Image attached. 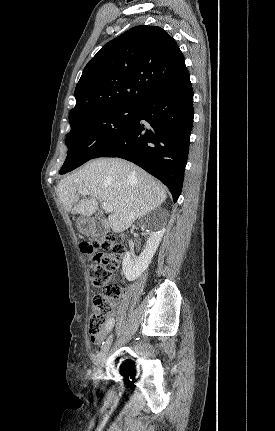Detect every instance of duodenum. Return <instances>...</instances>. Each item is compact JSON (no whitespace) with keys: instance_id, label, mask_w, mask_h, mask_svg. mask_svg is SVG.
Wrapping results in <instances>:
<instances>
[{"instance_id":"1","label":"duodenum","mask_w":275,"mask_h":431,"mask_svg":"<svg viewBox=\"0 0 275 431\" xmlns=\"http://www.w3.org/2000/svg\"><path fill=\"white\" fill-rule=\"evenodd\" d=\"M90 230H91L92 233H96L97 232L96 228L93 227V226L90 227Z\"/></svg>"}]
</instances>
